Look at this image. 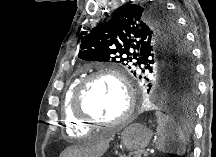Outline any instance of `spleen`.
Instances as JSON below:
<instances>
[{
	"label": "spleen",
	"instance_id": "1",
	"mask_svg": "<svg viewBox=\"0 0 216 157\" xmlns=\"http://www.w3.org/2000/svg\"><path fill=\"white\" fill-rule=\"evenodd\" d=\"M157 117V141L158 151L169 154L183 155L186 151L187 135L177 121L161 112H156Z\"/></svg>",
	"mask_w": 216,
	"mask_h": 157
}]
</instances>
